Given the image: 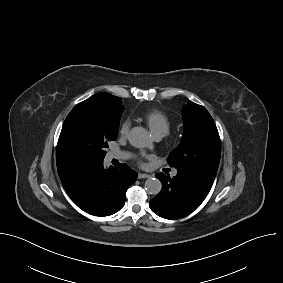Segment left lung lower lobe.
I'll list each match as a JSON object with an SVG mask.
<instances>
[{"label":"left lung lower lobe","instance_id":"obj_1","mask_svg":"<svg viewBox=\"0 0 283 283\" xmlns=\"http://www.w3.org/2000/svg\"><path fill=\"white\" fill-rule=\"evenodd\" d=\"M162 183L160 193L150 200V209L158 216L175 220L192 213L203 202L211 187L185 173L177 172L172 179L156 174Z\"/></svg>","mask_w":283,"mask_h":283}]
</instances>
